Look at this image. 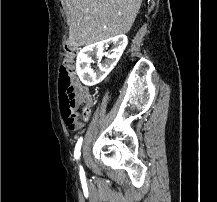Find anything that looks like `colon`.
Masks as SVG:
<instances>
[{"label": "colon", "instance_id": "1", "mask_svg": "<svg viewBox=\"0 0 217 202\" xmlns=\"http://www.w3.org/2000/svg\"><path fill=\"white\" fill-rule=\"evenodd\" d=\"M78 51L77 47H66V55H63L61 64H66V67H60L59 102L62 105L61 117H66L67 127L74 131L78 128H84V123H79L80 112L76 110V103H83L82 107L86 108V103L92 102V93H79L75 98V91H82V86L78 85V80H75L76 68H79V63H74V55Z\"/></svg>", "mask_w": 217, "mask_h": 202}]
</instances>
